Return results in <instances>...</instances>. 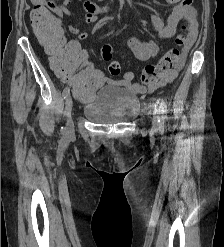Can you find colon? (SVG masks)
<instances>
[{"label":"colon","mask_w":224,"mask_h":247,"mask_svg":"<svg viewBox=\"0 0 224 247\" xmlns=\"http://www.w3.org/2000/svg\"><path fill=\"white\" fill-rule=\"evenodd\" d=\"M53 4L36 6L31 13L32 29L39 42L54 54L53 66L60 77L70 83L75 94L82 101L90 100L100 80L95 71L85 65L87 53L74 41L65 42L58 19L52 14ZM186 27H183V31ZM185 43L183 34L176 39V46L169 49L157 64L148 65L143 72L142 82L152 84L171 71L179 57V47ZM113 49L105 45L101 50L102 58L109 62V72L113 76L121 73L119 62L112 60Z\"/></svg>","instance_id":"obj_1"}]
</instances>
